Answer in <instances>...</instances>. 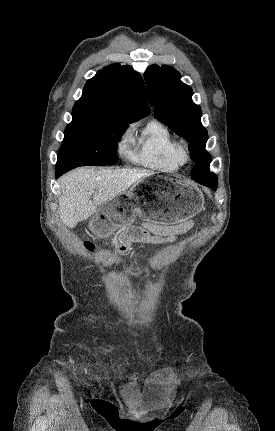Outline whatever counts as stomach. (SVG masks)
<instances>
[{"instance_id":"obj_1","label":"stomach","mask_w":275,"mask_h":431,"mask_svg":"<svg viewBox=\"0 0 275 431\" xmlns=\"http://www.w3.org/2000/svg\"><path fill=\"white\" fill-rule=\"evenodd\" d=\"M204 204L201 191L188 181L151 175L137 181L128 192L101 204L89 227L96 236L105 238L118 228L130 226L137 216L151 223L176 225L198 214Z\"/></svg>"}]
</instances>
